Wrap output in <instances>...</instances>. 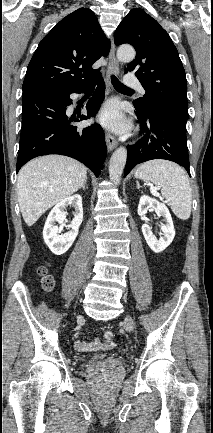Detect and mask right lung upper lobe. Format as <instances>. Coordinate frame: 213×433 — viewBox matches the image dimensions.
<instances>
[{
    "instance_id": "right-lung-upper-lobe-1",
    "label": "right lung upper lobe",
    "mask_w": 213,
    "mask_h": 433,
    "mask_svg": "<svg viewBox=\"0 0 213 433\" xmlns=\"http://www.w3.org/2000/svg\"><path fill=\"white\" fill-rule=\"evenodd\" d=\"M110 51L94 12L80 8L42 39L27 67L23 91L66 92L99 75L92 65Z\"/></svg>"
}]
</instances>
